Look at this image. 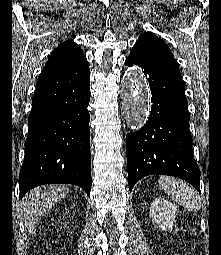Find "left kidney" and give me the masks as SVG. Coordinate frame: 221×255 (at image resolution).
<instances>
[{
  "mask_svg": "<svg viewBox=\"0 0 221 255\" xmlns=\"http://www.w3.org/2000/svg\"><path fill=\"white\" fill-rule=\"evenodd\" d=\"M177 207L162 198H156L151 203L150 218L156 224L157 228L164 231L170 230L173 227L175 218L177 216Z\"/></svg>",
  "mask_w": 221,
  "mask_h": 255,
  "instance_id": "1",
  "label": "left kidney"
}]
</instances>
